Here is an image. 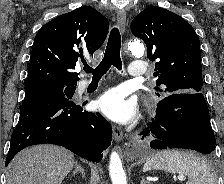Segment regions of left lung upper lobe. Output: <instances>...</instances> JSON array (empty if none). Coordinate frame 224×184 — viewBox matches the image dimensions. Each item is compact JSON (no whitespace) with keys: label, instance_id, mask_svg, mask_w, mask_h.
I'll return each mask as SVG.
<instances>
[{"label":"left lung upper lobe","instance_id":"1","mask_svg":"<svg viewBox=\"0 0 224 184\" xmlns=\"http://www.w3.org/2000/svg\"><path fill=\"white\" fill-rule=\"evenodd\" d=\"M131 31L145 42L147 57L157 60L154 89L162 93H157L159 97L201 92L200 41L188 22L171 11L152 6L133 19Z\"/></svg>","mask_w":224,"mask_h":184}]
</instances>
